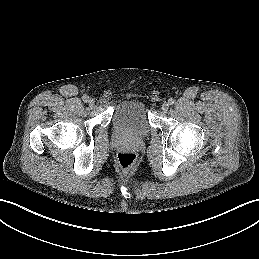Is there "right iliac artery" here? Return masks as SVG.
<instances>
[{
    "mask_svg": "<svg viewBox=\"0 0 259 259\" xmlns=\"http://www.w3.org/2000/svg\"><path fill=\"white\" fill-rule=\"evenodd\" d=\"M82 99H83L84 102H88L89 101V97L87 95H84Z\"/></svg>",
    "mask_w": 259,
    "mask_h": 259,
    "instance_id": "right-iliac-artery-1",
    "label": "right iliac artery"
}]
</instances>
